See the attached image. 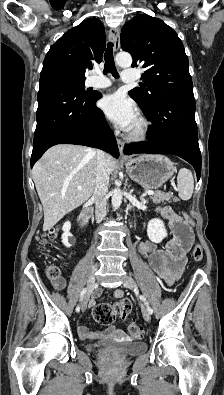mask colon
Here are the masks:
<instances>
[{"instance_id": "obj_1", "label": "colon", "mask_w": 224, "mask_h": 395, "mask_svg": "<svg viewBox=\"0 0 224 395\" xmlns=\"http://www.w3.org/2000/svg\"><path fill=\"white\" fill-rule=\"evenodd\" d=\"M183 220L185 222L184 225L180 226L179 229L183 233H187L190 225L191 219L188 214H182ZM57 229H51L48 233L43 234L39 238V248L40 250H45L49 245L50 241L53 240L57 236ZM192 259L196 262H199L203 258V249L201 245L195 244L191 253ZM60 268L56 265L49 266L47 270V275L52 280H57L60 278ZM131 309V303L127 299H123L116 304L109 303H100L93 310V318L94 320L102 325H110L112 324L116 318H120L121 320H126ZM128 331L133 338H140L143 335L142 328L137 325L135 322H131L128 326Z\"/></svg>"}]
</instances>
